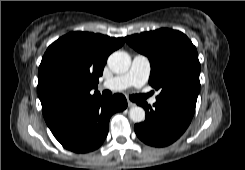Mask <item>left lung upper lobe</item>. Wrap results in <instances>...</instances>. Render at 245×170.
<instances>
[{"instance_id": "5c2ea615", "label": "left lung upper lobe", "mask_w": 245, "mask_h": 170, "mask_svg": "<svg viewBox=\"0 0 245 170\" xmlns=\"http://www.w3.org/2000/svg\"><path fill=\"white\" fill-rule=\"evenodd\" d=\"M125 40L149 58V84L161 91L156 101L195 109L200 89V63L196 47L186 35L162 28L127 36Z\"/></svg>"}]
</instances>
